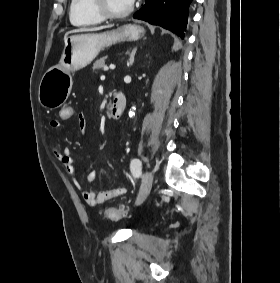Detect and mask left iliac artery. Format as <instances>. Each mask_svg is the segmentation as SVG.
I'll use <instances>...</instances> for the list:
<instances>
[{
	"label": "left iliac artery",
	"mask_w": 280,
	"mask_h": 283,
	"mask_svg": "<svg viewBox=\"0 0 280 283\" xmlns=\"http://www.w3.org/2000/svg\"><path fill=\"white\" fill-rule=\"evenodd\" d=\"M142 163L139 159L134 158L130 163V170L134 177L141 175Z\"/></svg>",
	"instance_id": "left-iliac-artery-1"
}]
</instances>
